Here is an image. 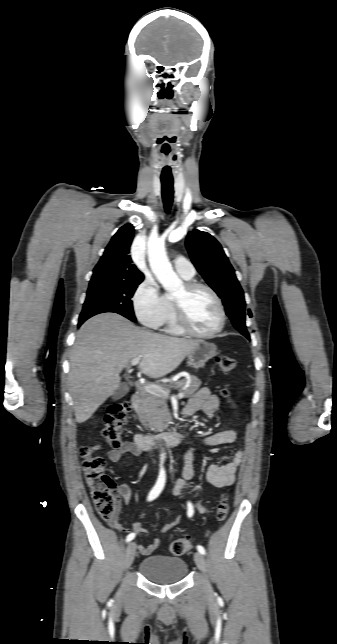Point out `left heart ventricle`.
Returning a JSON list of instances; mask_svg holds the SVG:
<instances>
[{
    "label": "left heart ventricle",
    "instance_id": "b2bd125f",
    "mask_svg": "<svg viewBox=\"0 0 337 644\" xmlns=\"http://www.w3.org/2000/svg\"><path fill=\"white\" fill-rule=\"evenodd\" d=\"M184 287L176 294L175 298H182ZM187 320L191 328L200 333H207L215 329L219 323V310L211 294L199 289L185 298Z\"/></svg>",
    "mask_w": 337,
    "mask_h": 644
}]
</instances>
